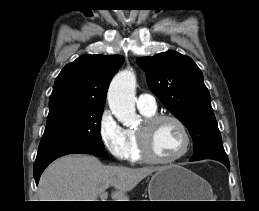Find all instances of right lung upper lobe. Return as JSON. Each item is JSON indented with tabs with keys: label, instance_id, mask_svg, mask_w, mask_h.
I'll use <instances>...</instances> for the list:
<instances>
[{
	"label": "right lung upper lobe",
	"instance_id": "obj_1",
	"mask_svg": "<svg viewBox=\"0 0 259 211\" xmlns=\"http://www.w3.org/2000/svg\"><path fill=\"white\" fill-rule=\"evenodd\" d=\"M124 61L120 55H83L58 75L48 119L73 109L104 108L109 83Z\"/></svg>",
	"mask_w": 259,
	"mask_h": 211
}]
</instances>
